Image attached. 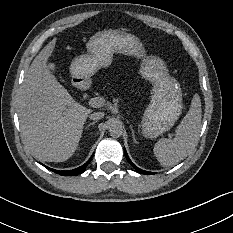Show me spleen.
I'll return each instance as SVG.
<instances>
[{
	"label": "spleen",
	"instance_id": "obj_1",
	"mask_svg": "<svg viewBox=\"0 0 233 233\" xmlns=\"http://www.w3.org/2000/svg\"><path fill=\"white\" fill-rule=\"evenodd\" d=\"M201 99L193 96L191 106L181 123L177 126L174 139H160L154 147V154L162 166H174L195 148L201 131Z\"/></svg>",
	"mask_w": 233,
	"mask_h": 233
}]
</instances>
